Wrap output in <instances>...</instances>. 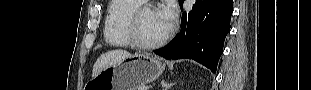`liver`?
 I'll list each match as a JSON object with an SVG mask.
<instances>
[{
    "mask_svg": "<svg viewBox=\"0 0 311 90\" xmlns=\"http://www.w3.org/2000/svg\"><path fill=\"white\" fill-rule=\"evenodd\" d=\"M131 54L126 50L116 49L102 54L95 62L92 77H96L102 70L110 66H116Z\"/></svg>",
    "mask_w": 311,
    "mask_h": 90,
    "instance_id": "liver-1",
    "label": "liver"
}]
</instances>
